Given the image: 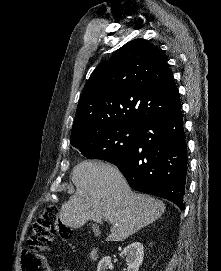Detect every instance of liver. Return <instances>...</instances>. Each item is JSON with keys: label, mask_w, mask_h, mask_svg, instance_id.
<instances>
[{"label": "liver", "mask_w": 221, "mask_h": 271, "mask_svg": "<svg viewBox=\"0 0 221 271\" xmlns=\"http://www.w3.org/2000/svg\"><path fill=\"white\" fill-rule=\"evenodd\" d=\"M74 195L63 203L60 219L69 227H81L88 219L112 227L106 241H123L158 219L165 203L145 193H134L116 165L85 159L73 167Z\"/></svg>", "instance_id": "1"}]
</instances>
